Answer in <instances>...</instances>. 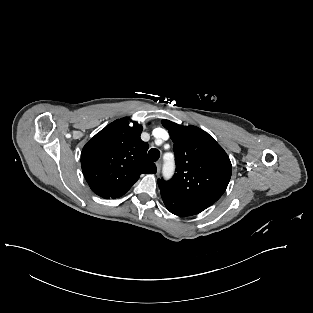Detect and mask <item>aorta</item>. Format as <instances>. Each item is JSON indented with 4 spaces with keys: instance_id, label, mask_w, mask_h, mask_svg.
<instances>
[{
    "instance_id": "762f6f07",
    "label": "aorta",
    "mask_w": 313,
    "mask_h": 313,
    "mask_svg": "<svg viewBox=\"0 0 313 313\" xmlns=\"http://www.w3.org/2000/svg\"><path fill=\"white\" fill-rule=\"evenodd\" d=\"M174 162L173 159L166 161L163 165V176L168 179L173 175L174 172Z\"/></svg>"
}]
</instances>
